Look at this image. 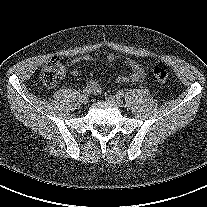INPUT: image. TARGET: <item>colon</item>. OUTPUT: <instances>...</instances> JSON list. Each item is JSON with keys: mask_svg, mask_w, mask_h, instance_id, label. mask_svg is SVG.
<instances>
[{"mask_svg": "<svg viewBox=\"0 0 207 207\" xmlns=\"http://www.w3.org/2000/svg\"><path fill=\"white\" fill-rule=\"evenodd\" d=\"M62 69L63 65L57 59H53L41 71L43 83L47 86H53L61 76ZM153 74L159 82H165L168 79V72L162 67H155Z\"/></svg>", "mask_w": 207, "mask_h": 207, "instance_id": "1", "label": "colon"}]
</instances>
